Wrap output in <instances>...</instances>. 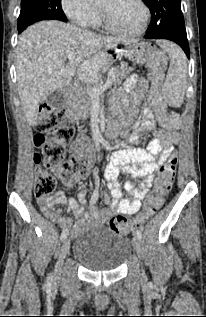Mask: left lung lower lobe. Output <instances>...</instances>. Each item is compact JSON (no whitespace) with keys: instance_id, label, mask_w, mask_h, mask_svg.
Returning a JSON list of instances; mask_svg holds the SVG:
<instances>
[{"instance_id":"1","label":"left lung lower lobe","mask_w":206,"mask_h":317,"mask_svg":"<svg viewBox=\"0 0 206 317\" xmlns=\"http://www.w3.org/2000/svg\"><path fill=\"white\" fill-rule=\"evenodd\" d=\"M146 39H167L177 43L186 53L189 58V45L186 33L165 32L158 35H145Z\"/></svg>"}]
</instances>
